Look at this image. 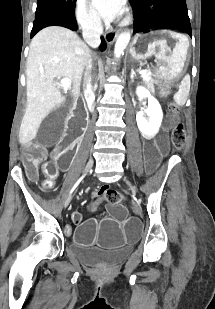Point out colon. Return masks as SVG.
<instances>
[{"instance_id": "1", "label": "colon", "mask_w": 215, "mask_h": 309, "mask_svg": "<svg viewBox=\"0 0 215 309\" xmlns=\"http://www.w3.org/2000/svg\"><path fill=\"white\" fill-rule=\"evenodd\" d=\"M170 109L173 112H176V108L174 105L170 106ZM171 140L174 145V147L178 150L182 149L186 136H185V129H184V124L182 122H177L174 124L172 134H171ZM37 157L36 156H29L26 159L25 166L26 170L29 174H35L37 171ZM45 173H46V178L42 183V186L45 190H49L53 188L55 180L58 175V166L55 162H50L46 165L45 167ZM102 196L106 198V200L112 204H118L120 203L121 200V195L117 191L113 190H105L102 192ZM98 199H94L90 205L91 209H96V203Z\"/></svg>"}]
</instances>
